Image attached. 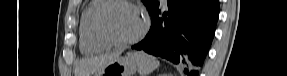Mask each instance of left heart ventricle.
<instances>
[{
	"mask_svg": "<svg viewBox=\"0 0 287 76\" xmlns=\"http://www.w3.org/2000/svg\"><path fill=\"white\" fill-rule=\"evenodd\" d=\"M143 26V17L135 8L124 4L112 6L104 15L102 27L112 38L130 39L137 35Z\"/></svg>",
	"mask_w": 287,
	"mask_h": 76,
	"instance_id": "left-heart-ventricle-1",
	"label": "left heart ventricle"
}]
</instances>
